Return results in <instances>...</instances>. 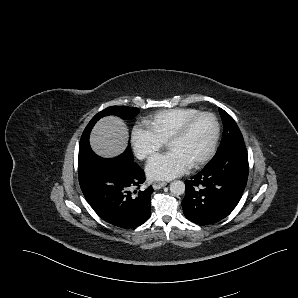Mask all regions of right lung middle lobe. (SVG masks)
Wrapping results in <instances>:
<instances>
[{
	"mask_svg": "<svg viewBox=\"0 0 298 298\" xmlns=\"http://www.w3.org/2000/svg\"><path fill=\"white\" fill-rule=\"evenodd\" d=\"M139 113V109L135 107H127V106H111L108 107L101 112L97 113L92 120L89 122V124L86 126L81 140L79 144V159L78 164L82 165L86 163L94 154V152L91 150L89 145V134L91 129L93 128L94 124L102 117L107 115H116L119 117H122L124 119H129L132 117H135ZM125 156L130 157L133 159L132 151L130 144L128 145L126 151L122 154Z\"/></svg>",
	"mask_w": 298,
	"mask_h": 298,
	"instance_id": "obj_1",
	"label": "right lung middle lobe"
}]
</instances>
